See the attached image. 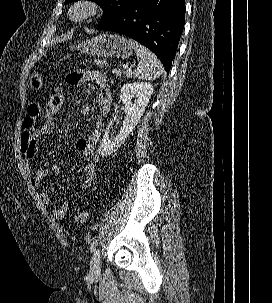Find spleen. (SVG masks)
<instances>
[{
    "label": "spleen",
    "instance_id": "obj_1",
    "mask_svg": "<svg viewBox=\"0 0 272 303\" xmlns=\"http://www.w3.org/2000/svg\"><path fill=\"white\" fill-rule=\"evenodd\" d=\"M128 42L134 48L139 60L137 68L133 71V76L141 80L158 78L164 72V68L157 56L132 39H129Z\"/></svg>",
    "mask_w": 272,
    "mask_h": 303
}]
</instances>
